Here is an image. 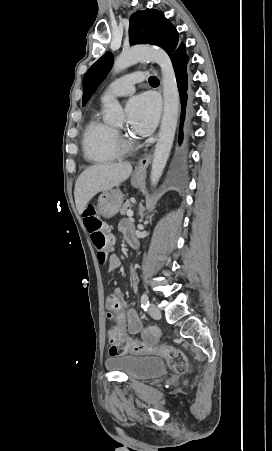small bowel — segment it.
I'll return each instance as SVG.
<instances>
[{"mask_svg": "<svg viewBox=\"0 0 272 451\" xmlns=\"http://www.w3.org/2000/svg\"><path fill=\"white\" fill-rule=\"evenodd\" d=\"M118 228L120 232L125 236L128 240L130 236L135 235V230L132 222L128 219H124L120 221ZM109 243H114V237H108ZM121 266V261L119 257L112 253L107 262L108 270H115ZM131 284L133 290H137L139 284V276L136 268H132L131 270ZM127 308V303L123 297V294L120 289H116L113 293L108 295L107 297V309L108 315L110 318H114L115 316H122V312ZM142 330V325L139 316L136 311L132 308L127 310L126 313V326L122 325L118 331V339H123L127 337V332L130 334H138ZM143 338L146 343L157 344L159 342V334L154 329H148L143 333Z\"/></svg>", "mask_w": 272, "mask_h": 451, "instance_id": "small-bowel-1", "label": "small bowel"}]
</instances>
